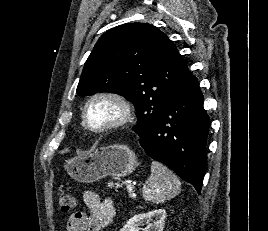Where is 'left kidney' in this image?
Returning <instances> with one entry per match:
<instances>
[{
  "instance_id": "left-kidney-1",
  "label": "left kidney",
  "mask_w": 268,
  "mask_h": 231,
  "mask_svg": "<svg viewBox=\"0 0 268 231\" xmlns=\"http://www.w3.org/2000/svg\"><path fill=\"white\" fill-rule=\"evenodd\" d=\"M166 218L164 209L153 210L146 214H138L130 218L120 231H163Z\"/></svg>"
}]
</instances>
